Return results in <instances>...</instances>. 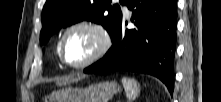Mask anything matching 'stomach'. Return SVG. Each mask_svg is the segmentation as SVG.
I'll use <instances>...</instances> for the list:
<instances>
[{
    "mask_svg": "<svg viewBox=\"0 0 221 102\" xmlns=\"http://www.w3.org/2000/svg\"><path fill=\"white\" fill-rule=\"evenodd\" d=\"M118 90L115 81H106L85 88L67 87L53 91L48 99L49 102H108Z\"/></svg>",
    "mask_w": 221,
    "mask_h": 102,
    "instance_id": "obj_1",
    "label": "stomach"
}]
</instances>
